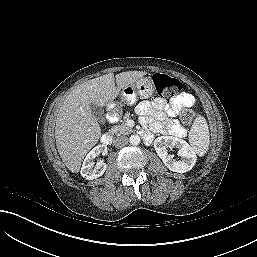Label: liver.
Listing matches in <instances>:
<instances>
[{
  "label": "liver",
  "mask_w": 257,
  "mask_h": 257,
  "mask_svg": "<svg viewBox=\"0 0 257 257\" xmlns=\"http://www.w3.org/2000/svg\"><path fill=\"white\" fill-rule=\"evenodd\" d=\"M144 75L143 71L122 72L115 78L113 73L105 74L81 84L67 95L57 115L55 138L59 155L72 173L79 172L86 153L101 136L90 105H107L122 89Z\"/></svg>",
  "instance_id": "obj_1"
}]
</instances>
